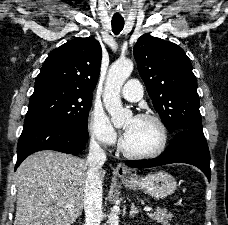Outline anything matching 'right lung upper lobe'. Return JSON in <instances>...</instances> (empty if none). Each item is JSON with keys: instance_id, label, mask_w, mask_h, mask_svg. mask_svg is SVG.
Returning a JSON list of instances; mask_svg holds the SVG:
<instances>
[{"instance_id": "1", "label": "right lung upper lobe", "mask_w": 228, "mask_h": 225, "mask_svg": "<svg viewBox=\"0 0 228 225\" xmlns=\"http://www.w3.org/2000/svg\"><path fill=\"white\" fill-rule=\"evenodd\" d=\"M101 65V46L94 38H75L50 52L35 85L57 83L83 92L94 90Z\"/></svg>"}]
</instances>
